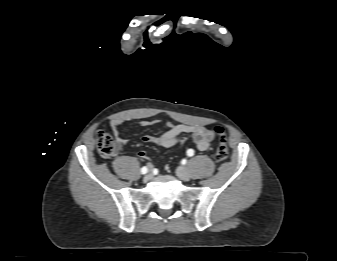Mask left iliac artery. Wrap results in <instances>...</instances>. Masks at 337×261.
Wrapping results in <instances>:
<instances>
[{"label":"left iliac artery","instance_id":"left-iliac-artery-1","mask_svg":"<svg viewBox=\"0 0 337 261\" xmlns=\"http://www.w3.org/2000/svg\"><path fill=\"white\" fill-rule=\"evenodd\" d=\"M187 155L188 156H193L194 155V150L193 149H188L187 150Z\"/></svg>","mask_w":337,"mask_h":261}]
</instances>
